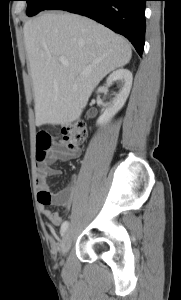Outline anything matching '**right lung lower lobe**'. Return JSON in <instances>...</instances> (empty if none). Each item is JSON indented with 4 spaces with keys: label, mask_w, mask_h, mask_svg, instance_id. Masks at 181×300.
<instances>
[{
    "label": "right lung lower lobe",
    "mask_w": 181,
    "mask_h": 300,
    "mask_svg": "<svg viewBox=\"0 0 181 300\" xmlns=\"http://www.w3.org/2000/svg\"><path fill=\"white\" fill-rule=\"evenodd\" d=\"M146 1L148 0H57L49 10H65L94 19L125 36L142 56Z\"/></svg>",
    "instance_id": "right-lung-lower-lobe-1"
}]
</instances>
